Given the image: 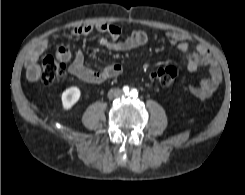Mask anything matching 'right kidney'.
Segmentation results:
<instances>
[{
    "mask_svg": "<svg viewBox=\"0 0 245 195\" xmlns=\"http://www.w3.org/2000/svg\"><path fill=\"white\" fill-rule=\"evenodd\" d=\"M81 91L77 86L66 89L61 95L62 107L70 110L80 99Z\"/></svg>",
    "mask_w": 245,
    "mask_h": 195,
    "instance_id": "obj_1",
    "label": "right kidney"
}]
</instances>
